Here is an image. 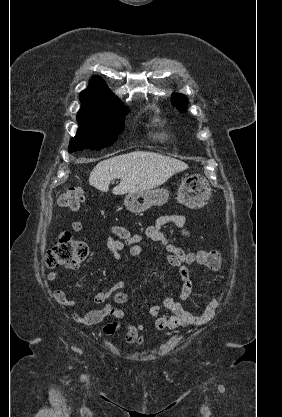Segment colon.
<instances>
[{
	"instance_id": "1",
	"label": "colon",
	"mask_w": 282,
	"mask_h": 417,
	"mask_svg": "<svg viewBox=\"0 0 282 417\" xmlns=\"http://www.w3.org/2000/svg\"><path fill=\"white\" fill-rule=\"evenodd\" d=\"M58 202L65 208H76L82 202V192L79 188L71 187L61 193ZM88 256L87 246L78 240L71 239L67 233H63L55 241L46 255V265L51 269L75 267L80 265ZM188 260L198 262L202 267L217 270L220 267L221 257L215 250L198 251Z\"/></svg>"
}]
</instances>
